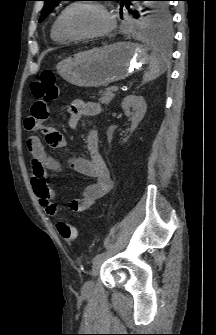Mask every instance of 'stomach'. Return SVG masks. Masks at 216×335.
I'll return each mask as SVG.
<instances>
[{"label": "stomach", "mask_w": 216, "mask_h": 335, "mask_svg": "<svg viewBox=\"0 0 216 335\" xmlns=\"http://www.w3.org/2000/svg\"><path fill=\"white\" fill-rule=\"evenodd\" d=\"M150 61L142 46L116 42L101 48L79 52L62 60L57 71L69 83L79 87H104L127 78Z\"/></svg>", "instance_id": "0dacf381"}]
</instances>
